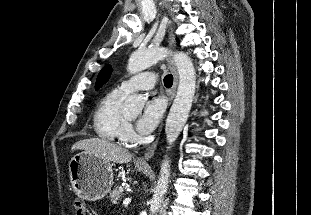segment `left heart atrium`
<instances>
[{"label":"left heart atrium","instance_id":"left-heart-atrium-1","mask_svg":"<svg viewBox=\"0 0 311 215\" xmlns=\"http://www.w3.org/2000/svg\"><path fill=\"white\" fill-rule=\"evenodd\" d=\"M164 109L165 102L161 97H154L148 100L137 121L138 132L143 135L152 132L159 123Z\"/></svg>","mask_w":311,"mask_h":215}]
</instances>
